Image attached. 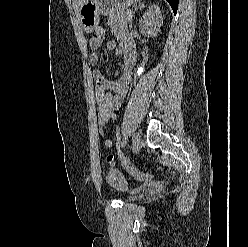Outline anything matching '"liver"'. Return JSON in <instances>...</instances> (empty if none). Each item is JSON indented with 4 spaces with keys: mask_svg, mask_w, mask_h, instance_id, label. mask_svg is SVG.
Wrapping results in <instances>:
<instances>
[{
    "mask_svg": "<svg viewBox=\"0 0 248 247\" xmlns=\"http://www.w3.org/2000/svg\"><path fill=\"white\" fill-rule=\"evenodd\" d=\"M84 1H85V0H74L75 9H76L77 12H78L79 7L82 5V3H83Z\"/></svg>",
    "mask_w": 248,
    "mask_h": 247,
    "instance_id": "1",
    "label": "liver"
}]
</instances>
